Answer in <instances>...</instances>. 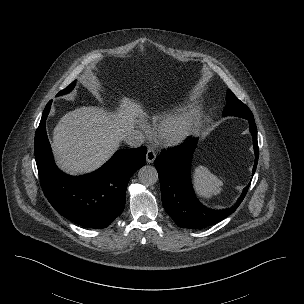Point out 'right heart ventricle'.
<instances>
[{
    "instance_id": "1",
    "label": "right heart ventricle",
    "mask_w": 304,
    "mask_h": 304,
    "mask_svg": "<svg viewBox=\"0 0 304 304\" xmlns=\"http://www.w3.org/2000/svg\"><path fill=\"white\" fill-rule=\"evenodd\" d=\"M167 116V114H159V115H157L156 116V119L158 120V119H163V118H165Z\"/></svg>"
}]
</instances>
